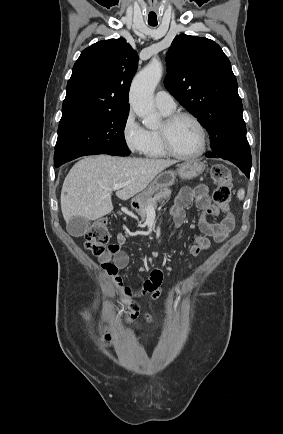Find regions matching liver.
Listing matches in <instances>:
<instances>
[{"label":"liver","mask_w":283,"mask_h":434,"mask_svg":"<svg viewBox=\"0 0 283 434\" xmlns=\"http://www.w3.org/2000/svg\"><path fill=\"white\" fill-rule=\"evenodd\" d=\"M174 160L87 156L67 174L61 191V210L66 224L74 217L97 220L113 210L111 188L126 184L116 196L128 200L143 191Z\"/></svg>","instance_id":"obj_1"}]
</instances>
